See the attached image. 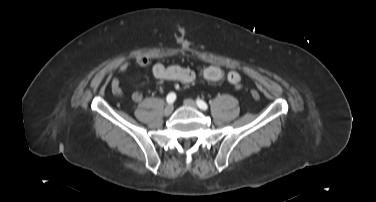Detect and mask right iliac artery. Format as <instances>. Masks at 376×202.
Returning a JSON list of instances; mask_svg holds the SVG:
<instances>
[{"label":"right iliac artery","instance_id":"obj_1","mask_svg":"<svg viewBox=\"0 0 376 202\" xmlns=\"http://www.w3.org/2000/svg\"><path fill=\"white\" fill-rule=\"evenodd\" d=\"M176 100V94L171 92L167 95L166 101L168 104H172Z\"/></svg>","mask_w":376,"mask_h":202}]
</instances>
